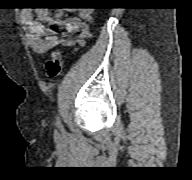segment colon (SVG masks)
<instances>
[{
  "mask_svg": "<svg viewBox=\"0 0 192 180\" xmlns=\"http://www.w3.org/2000/svg\"><path fill=\"white\" fill-rule=\"evenodd\" d=\"M45 68L50 78H56L61 75L64 68L62 53L58 50L54 51L46 62Z\"/></svg>",
  "mask_w": 192,
  "mask_h": 180,
  "instance_id": "colon-1",
  "label": "colon"
}]
</instances>
